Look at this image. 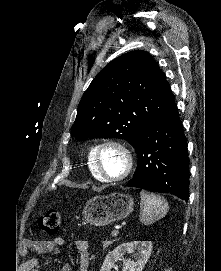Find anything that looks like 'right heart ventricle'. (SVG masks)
I'll return each mask as SVG.
<instances>
[{
  "label": "right heart ventricle",
  "mask_w": 221,
  "mask_h": 271,
  "mask_svg": "<svg viewBox=\"0 0 221 271\" xmlns=\"http://www.w3.org/2000/svg\"><path fill=\"white\" fill-rule=\"evenodd\" d=\"M90 152H95V147H90ZM88 151V149H87ZM88 163L90 167H87L88 176H91L92 179H96L97 183H107V178H102V175L99 174L98 167L100 163L97 162V158H88ZM85 165V164H84Z\"/></svg>",
  "instance_id": "e07e8e85"
}]
</instances>
